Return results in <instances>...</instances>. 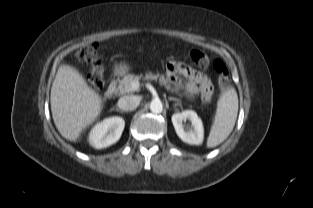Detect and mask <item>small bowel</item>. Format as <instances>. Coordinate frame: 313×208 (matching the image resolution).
Listing matches in <instances>:
<instances>
[{
    "label": "small bowel",
    "instance_id": "1",
    "mask_svg": "<svg viewBox=\"0 0 313 208\" xmlns=\"http://www.w3.org/2000/svg\"><path fill=\"white\" fill-rule=\"evenodd\" d=\"M167 73L173 84L178 87L183 86L188 94H200L204 101L211 99L213 95V85L210 79L203 73L175 61L168 63ZM181 77L186 79L184 85L181 82Z\"/></svg>",
    "mask_w": 313,
    "mask_h": 208
}]
</instances>
